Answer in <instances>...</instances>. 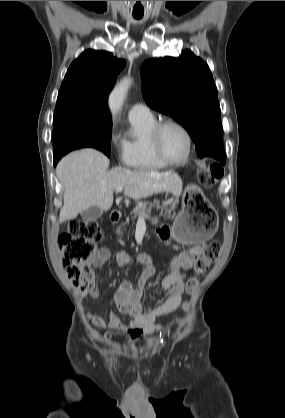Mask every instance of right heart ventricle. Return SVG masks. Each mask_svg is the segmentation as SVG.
I'll use <instances>...</instances> for the list:
<instances>
[{"mask_svg": "<svg viewBox=\"0 0 285 418\" xmlns=\"http://www.w3.org/2000/svg\"><path fill=\"white\" fill-rule=\"evenodd\" d=\"M156 123L154 118L131 121L132 129L123 140L128 166L144 170L162 169L167 166L156 157L149 142L150 133Z\"/></svg>", "mask_w": 285, "mask_h": 418, "instance_id": "e07e8e85", "label": "right heart ventricle"}]
</instances>
